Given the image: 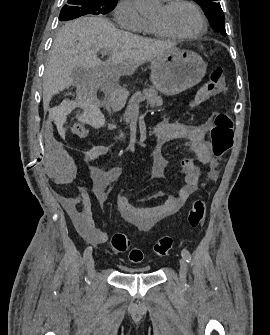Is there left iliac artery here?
Segmentation results:
<instances>
[{
    "label": "left iliac artery",
    "instance_id": "obj_1",
    "mask_svg": "<svg viewBox=\"0 0 270 335\" xmlns=\"http://www.w3.org/2000/svg\"><path fill=\"white\" fill-rule=\"evenodd\" d=\"M181 255L186 260L187 263L191 262V254L187 249H183L181 251Z\"/></svg>",
    "mask_w": 270,
    "mask_h": 335
}]
</instances>
